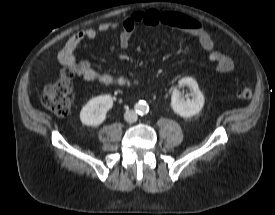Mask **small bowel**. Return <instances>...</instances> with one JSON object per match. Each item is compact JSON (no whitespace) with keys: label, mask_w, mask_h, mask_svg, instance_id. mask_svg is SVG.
Masks as SVG:
<instances>
[{"label":"small bowel","mask_w":275,"mask_h":215,"mask_svg":"<svg viewBox=\"0 0 275 215\" xmlns=\"http://www.w3.org/2000/svg\"><path fill=\"white\" fill-rule=\"evenodd\" d=\"M139 24L148 27L167 26L189 34L197 39L199 45L207 53L209 60L214 62L217 71L228 73L233 69L232 59L215 48L211 35L197 19L183 13L157 9L137 11L123 20L102 23L96 28H89L75 33L61 50L59 60L86 81H97L103 85L119 87L133 86L138 82L137 79L100 72L95 69L90 60L78 58L76 51L84 40L94 39L101 33L117 30H121L119 46L122 49H127L131 34Z\"/></svg>","instance_id":"1"}]
</instances>
